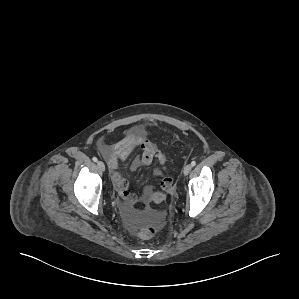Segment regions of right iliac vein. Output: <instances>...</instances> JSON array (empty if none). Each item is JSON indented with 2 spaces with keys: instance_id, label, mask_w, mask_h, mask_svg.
I'll use <instances>...</instances> for the list:
<instances>
[{
  "instance_id": "right-iliac-vein-1",
  "label": "right iliac vein",
  "mask_w": 299,
  "mask_h": 299,
  "mask_svg": "<svg viewBox=\"0 0 299 299\" xmlns=\"http://www.w3.org/2000/svg\"><path fill=\"white\" fill-rule=\"evenodd\" d=\"M97 166L101 171H105V164L102 161H98Z\"/></svg>"
}]
</instances>
